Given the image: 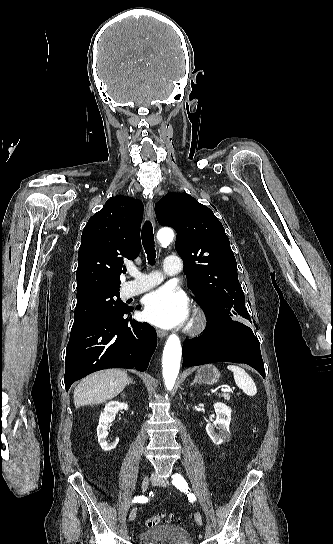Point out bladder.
<instances>
[{"label": "bladder", "mask_w": 333, "mask_h": 544, "mask_svg": "<svg viewBox=\"0 0 333 544\" xmlns=\"http://www.w3.org/2000/svg\"><path fill=\"white\" fill-rule=\"evenodd\" d=\"M139 544H194L192 536L183 527L164 525L141 533Z\"/></svg>", "instance_id": "obj_1"}]
</instances>
